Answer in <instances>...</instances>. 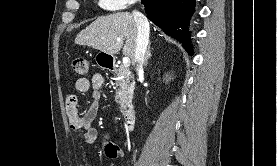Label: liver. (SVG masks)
Here are the masks:
<instances>
[{"label": "liver", "instance_id": "liver-1", "mask_svg": "<svg viewBox=\"0 0 277 166\" xmlns=\"http://www.w3.org/2000/svg\"><path fill=\"white\" fill-rule=\"evenodd\" d=\"M136 40L137 25L133 14L118 12L97 18L77 35L75 43L90 46L109 55L116 54L123 47V54L129 57L134 65Z\"/></svg>", "mask_w": 277, "mask_h": 166}]
</instances>
